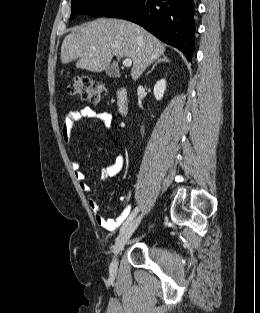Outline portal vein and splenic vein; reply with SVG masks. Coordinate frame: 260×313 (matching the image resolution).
<instances>
[{
	"label": "portal vein and splenic vein",
	"instance_id": "18ae733b",
	"mask_svg": "<svg viewBox=\"0 0 260 313\" xmlns=\"http://www.w3.org/2000/svg\"><path fill=\"white\" fill-rule=\"evenodd\" d=\"M122 62H123V65L125 67H131V65H132V60L131 59H124Z\"/></svg>",
	"mask_w": 260,
	"mask_h": 313
}]
</instances>
